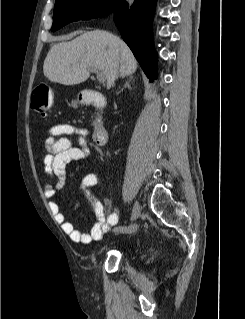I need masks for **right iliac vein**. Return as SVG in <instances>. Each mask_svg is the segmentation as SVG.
I'll return each mask as SVG.
<instances>
[{"label": "right iliac vein", "instance_id": "right-iliac-vein-1", "mask_svg": "<svg viewBox=\"0 0 245 319\" xmlns=\"http://www.w3.org/2000/svg\"><path fill=\"white\" fill-rule=\"evenodd\" d=\"M140 216V205L138 202L135 203L133 212H132V220H137ZM134 227L133 232L137 230V225H132Z\"/></svg>", "mask_w": 245, "mask_h": 319}]
</instances>
